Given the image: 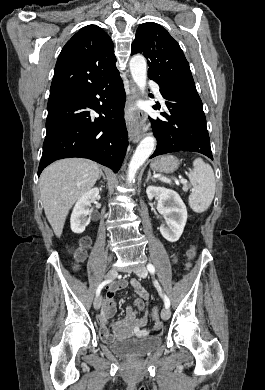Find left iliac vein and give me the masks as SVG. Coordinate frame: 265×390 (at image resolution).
<instances>
[{
	"mask_svg": "<svg viewBox=\"0 0 265 390\" xmlns=\"http://www.w3.org/2000/svg\"><path fill=\"white\" fill-rule=\"evenodd\" d=\"M136 275L141 277V278H146L147 275H148V271L146 269V267L144 266H141L140 268H138L136 271H135ZM161 317L163 320H168L169 317H170V310L169 308H163V310L161 311Z\"/></svg>",
	"mask_w": 265,
	"mask_h": 390,
	"instance_id": "1",
	"label": "left iliac vein"
}]
</instances>
